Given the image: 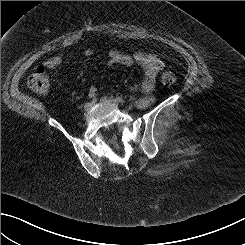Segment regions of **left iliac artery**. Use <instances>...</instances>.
Returning a JSON list of instances; mask_svg holds the SVG:
<instances>
[{"mask_svg": "<svg viewBox=\"0 0 245 245\" xmlns=\"http://www.w3.org/2000/svg\"><path fill=\"white\" fill-rule=\"evenodd\" d=\"M115 100L117 101V102H119V103H121V104H123L124 103V99L122 98V97H116L115 98Z\"/></svg>", "mask_w": 245, "mask_h": 245, "instance_id": "left-iliac-artery-1", "label": "left iliac artery"}]
</instances>
